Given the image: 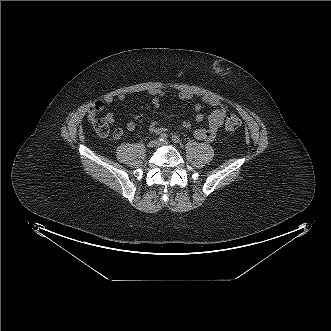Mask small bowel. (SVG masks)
I'll return each instance as SVG.
<instances>
[{
	"label": "small bowel",
	"mask_w": 331,
	"mask_h": 331,
	"mask_svg": "<svg viewBox=\"0 0 331 331\" xmlns=\"http://www.w3.org/2000/svg\"><path fill=\"white\" fill-rule=\"evenodd\" d=\"M148 93L152 96V105L156 108H159L162 104V99L167 95L164 90L159 88H151L148 90ZM177 97L180 100H191L193 98V94L187 90H180L177 93ZM126 98L124 93H120L117 96L107 95L102 100L97 101L94 106L90 109L89 116H96L100 111L103 110L105 105H110L114 102L115 99L119 101H123ZM203 104L211 106L213 108L212 112L208 115L201 113V109ZM194 110L197 112L194 121L196 123H201L204 120H207L208 127L207 128H198L194 130V137L197 140H203L207 142H212L218 132V129L222 126L224 122V118L228 113V106L227 104L216 97L213 96H203L200 99V102L195 104ZM114 115L112 112H107L104 116V120L106 123H113L114 122ZM183 127L190 128L191 123L190 121H183ZM136 128V124L132 121L126 124V129L128 131H134ZM148 131L152 134H163L166 131V128L163 127L158 121H152L149 125ZM122 132L120 129L116 130L115 137L120 138Z\"/></svg>",
	"instance_id": "1"
}]
</instances>
